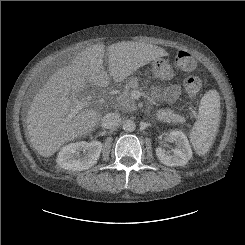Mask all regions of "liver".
Listing matches in <instances>:
<instances>
[{
  "mask_svg": "<svg viewBox=\"0 0 245 245\" xmlns=\"http://www.w3.org/2000/svg\"><path fill=\"white\" fill-rule=\"evenodd\" d=\"M108 71L104 70L105 45L96 44L78 53L71 63L58 69L35 95L26 117L31 146L43 157H50L61 146L93 131L101 114L92 108L79 111L68 120L77 95L88 85L106 87L110 77L122 82L140 67L167 56L161 47L144 42L122 41L106 48Z\"/></svg>",
  "mask_w": 245,
  "mask_h": 245,
  "instance_id": "obj_1",
  "label": "liver"
}]
</instances>
